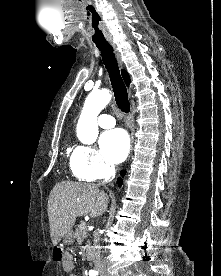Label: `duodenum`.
Masks as SVG:
<instances>
[{"label":"duodenum","mask_w":221,"mask_h":276,"mask_svg":"<svg viewBox=\"0 0 221 276\" xmlns=\"http://www.w3.org/2000/svg\"><path fill=\"white\" fill-rule=\"evenodd\" d=\"M90 255V250H87V256H89Z\"/></svg>","instance_id":"1"}]
</instances>
